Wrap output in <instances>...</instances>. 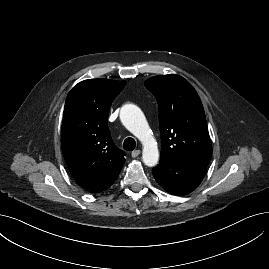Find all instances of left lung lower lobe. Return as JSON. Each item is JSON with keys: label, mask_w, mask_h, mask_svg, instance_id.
I'll return each instance as SVG.
<instances>
[{"label": "left lung lower lobe", "mask_w": 269, "mask_h": 269, "mask_svg": "<svg viewBox=\"0 0 269 269\" xmlns=\"http://www.w3.org/2000/svg\"><path fill=\"white\" fill-rule=\"evenodd\" d=\"M205 166L186 160L161 156L152 169L157 183L173 195H186L195 190L206 173Z\"/></svg>", "instance_id": "0a47b994"}]
</instances>
